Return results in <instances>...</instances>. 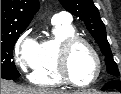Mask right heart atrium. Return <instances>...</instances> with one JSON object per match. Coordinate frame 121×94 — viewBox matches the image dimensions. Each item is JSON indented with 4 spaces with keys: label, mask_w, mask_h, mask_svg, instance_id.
I'll list each match as a JSON object with an SVG mask.
<instances>
[{
    "label": "right heart atrium",
    "mask_w": 121,
    "mask_h": 94,
    "mask_svg": "<svg viewBox=\"0 0 121 94\" xmlns=\"http://www.w3.org/2000/svg\"><path fill=\"white\" fill-rule=\"evenodd\" d=\"M37 45L38 43L33 38L25 37L14 48V63L21 71L25 72L32 68L36 57Z\"/></svg>",
    "instance_id": "1"
}]
</instances>
